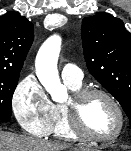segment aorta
I'll return each mask as SVG.
<instances>
[{"mask_svg": "<svg viewBox=\"0 0 131 151\" xmlns=\"http://www.w3.org/2000/svg\"><path fill=\"white\" fill-rule=\"evenodd\" d=\"M59 52L60 39L52 36L41 46L36 57L37 77L54 100H59L60 95L64 93L57 69Z\"/></svg>", "mask_w": 131, "mask_h": 151, "instance_id": "762f6f07", "label": "aorta"}]
</instances>
